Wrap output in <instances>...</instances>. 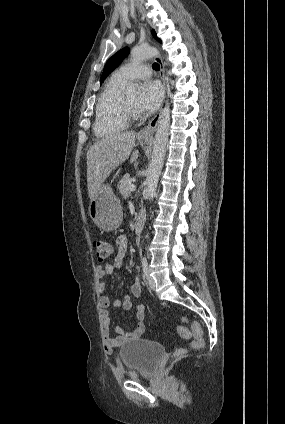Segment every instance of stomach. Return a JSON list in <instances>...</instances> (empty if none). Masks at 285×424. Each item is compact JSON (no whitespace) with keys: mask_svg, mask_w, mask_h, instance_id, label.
Listing matches in <instances>:
<instances>
[{"mask_svg":"<svg viewBox=\"0 0 285 424\" xmlns=\"http://www.w3.org/2000/svg\"><path fill=\"white\" fill-rule=\"evenodd\" d=\"M148 140L143 139L145 142ZM88 211L95 225L103 231L115 230L122 222L121 202L109 185H103L90 200Z\"/></svg>","mask_w":285,"mask_h":424,"instance_id":"0dacf381","label":"stomach"}]
</instances>
